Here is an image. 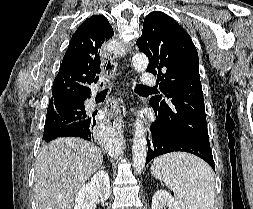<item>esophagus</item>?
I'll return each instance as SVG.
<instances>
[{
    "label": "esophagus",
    "mask_w": 253,
    "mask_h": 209,
    "mask_svg": "<svg viewBox=\"0 0 253 209\" xmlns=\"http://www.w3.org/2000/svg\"><path fill=\"white\" fill-rule=\"evenodd\" d=\"M107 124L113 128H121L122 118L121 111L117 101H114L107 108Z\"/></svg>",
    "instance_id": "34e87169"
}]
</instances>
